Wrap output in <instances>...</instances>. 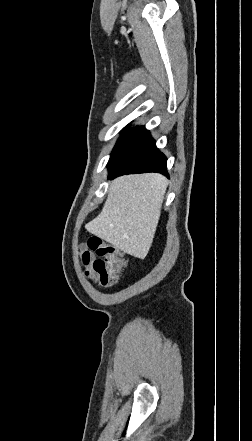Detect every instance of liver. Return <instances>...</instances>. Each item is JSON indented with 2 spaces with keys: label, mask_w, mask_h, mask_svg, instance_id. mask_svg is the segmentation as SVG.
Listing matches in <instances>:
<instances>
[{
  "label": "liver",
  "mask_w": 252,
  "mask_h": 441,
  "mask_svg": "<svg viewBox=\"0 0 252 441\" xmlns=\"http://www.w3.org/2000/svg\"><path fill=\"white\" fill-rule=\"evenodd\" d=\"M168 181L158 173L113 180L100 214L86 225L91 234L143 259L152 245Z\"/></svg>",
  "instance_id": "liver-1"
}]
</instances>
